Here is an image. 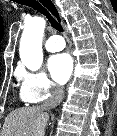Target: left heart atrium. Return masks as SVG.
Wrapping results in <instances>:
<instances>
[{"label": "left heart atrium", "mask_w": 117, "mask_h": 136, "mask_svg": "<svg viewBox=\"0 0 117 136\" xmlns=\"http://www.w3.org/2000/svg\"><path fill=\"white\" fill-rule=\"evenodd\" d=\"M48 67L53 79L59 84H64L72 72V59L69 54L60 53L50 58Z\"/></svg>", "instance_id": "obj_1"}]
</instances>
